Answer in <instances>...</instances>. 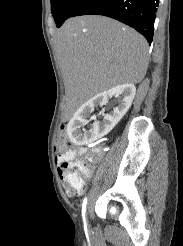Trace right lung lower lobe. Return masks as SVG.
Returning a JSON list of instances; mask_svg holds the SVG:
<instances>
[{
  "label": "right lung lower lobe",
  "mask_w": 183,
  "mask_h": 246,
  "mask_svg": "<svg viewBox=\"0 0 183 246\" xmlns=\"http://www.w3.org/2000/svg\"><path fill=\"white\" fill-rule=\"evenodd\" d=\"M158 3L159 0H79L67 18L80 15L111 17L133 27L151 44Z\"/></svg>",
  "instance_id": "obj_1"
}]
</instances>
